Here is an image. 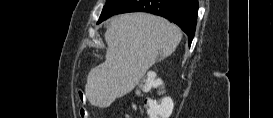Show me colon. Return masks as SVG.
<instances>
[{"label": "colon", "mask_w": 273, "mask_h": 118, "mask_svg": "<svg viewBox=\"0 0 273 118\" xmlns=\"http://www.w3.org/2000/svg\"><path fill=\"white\" fill-rule=\"evenodd\" d=\"M150 86H152V81L150 79H146L142 87L147 88ZM172 108L173 102L169 97H164L160 101L148 99L144 104V109L148 112L150 118L168 117L172 111Z\"/></svg>", "instance_id": "obj_1"}]
</instances>
